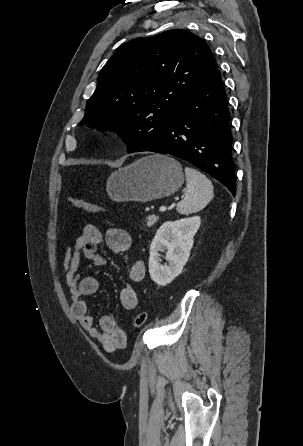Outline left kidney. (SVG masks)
Returning a JSON list of instances; mask_svg holds the SVG:
<instances>
[{
  "label": "left kidney",
  "instance_id": "5707ae66",
  "mask_svg": "<svg viewBox=\"0 0 303 446\" xmlns=\"http://www.w3.org/2000/svg\"><path fill=\"white\" fill-rule=\"evenodd\" d=\"M201 224L199 216L165 222L150 246L149 273L160 286L171 283L183 270L193 247V238ZM166 252L168 265H161L159 251Z\"/></svg>",
  "mask_w": 303,
  "mask_h": 446
}]
</instances>
